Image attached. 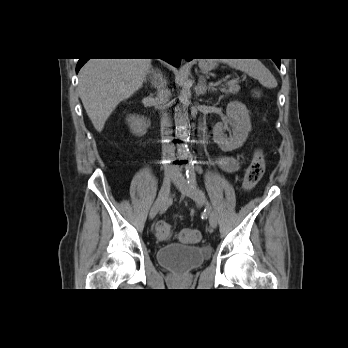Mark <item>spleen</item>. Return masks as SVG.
I'll return each mask as SVG.
<instances>
[{"mask_svg":"<svg viewBox=\"0 0 348 348\" xmlns=\"http://www.w3.org/2000/svg\"><path fill=\"white\" fill-rule=\"evenodd\" d=\"M223 63L247 73L257 79L266 88L277 87V81L272 73L258 59H225Z\"/></svg>","mask_w":348,"mask_h":348,"instance_id":"3e777b00","label":"spleen"}]
</instances>
